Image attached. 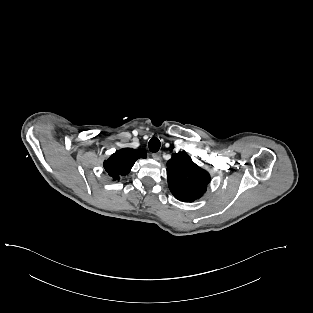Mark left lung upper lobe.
I'll use <instances>...</instances> for the list:
<instances>
[{"label": "left lung upper lobe", "mask_w": 313, "mask_h": 313, "mask_svg": "<svg viewBox=\"0 0 313 313\" xmlns=\"http://www.w3.org/2000/svg\"><path fill=\"white\" fill-rule=\"evenodd\" d=\"M168 185L176 199L193 202L206 192L210 182L207 171L196 165L185 152L172 154L167 162Z\"/></svg>", "instance_id": "1"}]
</instances>
